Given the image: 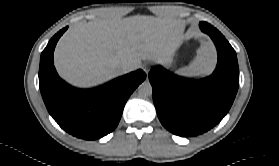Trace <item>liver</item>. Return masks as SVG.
Wrapping results in <instances>:
<instances>
[{
  "label": "liver",
  "instance_id": "1",
  "mask_svg": "<svg viewBox=\"0 0 279 166\" xmlns=\"http://www.w3.org/2000/svg\"><path fill=\"white\" fill-rule=\"evenodd\" d=\"M182 22L170 16L110 17L73 26L54 53L60 76L78 87H92L121 75L124 64L165 61L179 47Z\"/></svg>",
  "mask_w": 279,
  "mask_h": 166
}]
</instances>
